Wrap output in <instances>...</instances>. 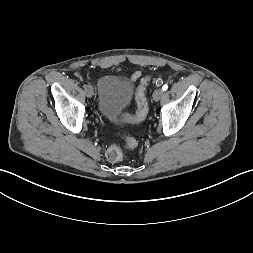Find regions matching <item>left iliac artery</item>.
Wrapping results in <instances>:
<instances>
[{
  "mask_svg": "<svg viewBox=\"0 0 253 253\" xmlns=\"http://www.w3.org/2000/svg\"><path fill=\"white\" fill-rule=\"evenodd\" d=\"M162 89H163V91L167 90L168 89V85H166V84L163 85Z\"/></svg>",
  "mask_w": 253,
  "mask_h": 253,
  "instance_id": "left-iliac-artery-1",
  "label": "left iliac artery"
}]
</instances>
